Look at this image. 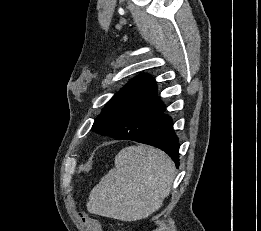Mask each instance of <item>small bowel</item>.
<instances>
[{
  "label": "small bowel",
  "mask_w": 261,
  "mask_h": 231,
  "mask_svg": "<svg viewBox=\"0 0 261 231\" xmlns=\"http://www.w3.org/2000/svg\"><path fill=\"white\" fill-rule=\"evenodd\" d=\"M87 231H101V228L96 224L95 220H89Z\"/></svg>",
  "instance_id": "obj_1"
}]
</instances>
